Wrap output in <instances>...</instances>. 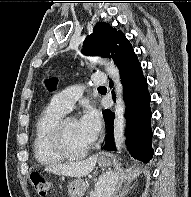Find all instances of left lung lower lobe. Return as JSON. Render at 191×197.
Instances as JSON below:
<instances>
[{
	"mask_svg": "<svg viewBox=\"0 0 191 197\" xmlns=\"http://www.w3.org/2000/svg\"><path fill=\"white\" fill-rule=\"evenodd\" d=\"M121 79L124 87V100L126 104V138L127 147L131 156L144 163H148L153 156L150 94L147 81L142 73L141 66L133 70L122 71ZM114 98V93H113ZM103 117L108 125V134L105 150H116L113 139L114 114L106 109Z\"/></svg>",
	"mask_w": 191,
	"mask_h": 197,
	"instance_id": "left-lung-lower-lobe-1",
	"label": "left lung lower lobe"
}]
</instances>
